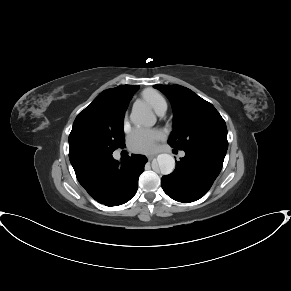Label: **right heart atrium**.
<instances>
[{
	"label": "right heart atrium",
	"instance_id": "1",
	"mask_svg": "<svg viewBox=\"0 0 291 291\" xmlns=\"http://www.w3.org/2000/svg\"><path fill=\"white\" fill-rule=\"evenodd\" d=\"M127 124H128V118L125 116L123 119V125L125 128L127 127Z\"/></svg>",
	"mask_w": 291,
	"mask_h": 291
}]
</instances>
